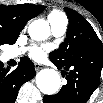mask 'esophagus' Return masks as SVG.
I'll use <instances>...</instances> for the list:
<instances>
[{
  "label": "esophagus",
  "instance_id": "obj_1",
  "mask_svg": "<svg viewBox=\"0 0 103 103\" xmlns=\"http://www.w3.org/2000/svg\"><path fill=\"white\" fill-rule=\"evenodd\" d=\"M34 66H35V70L36 71H39V70H41L43 68V65L38 64V63H35Z\"/></svg>",
  "mask_w": 103,
  "mask_h": 103
}]
</instances>
